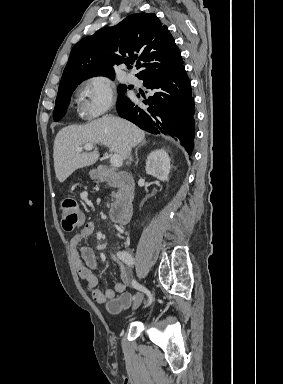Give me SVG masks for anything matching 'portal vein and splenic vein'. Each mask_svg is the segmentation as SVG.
Segmentation results:
<instances>
[{
    "label": "portal vein and splenic vein",
    "mask_w": 283,
    "mask_h": 384,
    "mask_svg": "<svg viewBox=\"0 0 283 384\" xmlns=\"http://www.w3.org/2000/svg\"><path fill=\"white\" fill-rule=\"evenodd\" d=\"M94 144H84L83 148H77L76 152H82V150H93ZM110 164L111 166H114V168H120L123 164V158L121 156H118V154H113L110 158Z\"/></svg>",
    "instance_id": "obj_1"
}]
</instances>
